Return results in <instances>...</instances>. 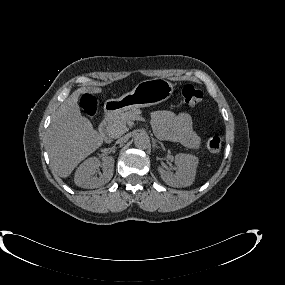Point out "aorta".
Returning a JSON list of instances; mask_svg holds the SVG:
<instances>
[{
	"label": "aorta",
	"instance_id": "obj_1",
	"mask_svg": "<svg viewBox=\"0 0 285 285\" xmlns=\"http://www.w3.org/2000/svg\"><path fill=\"white\" fill-rule=\"evenodd\" d=\"M134 144L137 148L147 149L150 146V138L144 133H138L134 138Z\"/></svg>",
	"mask_w": 285,
	"mask_h": 285
}]
</instances>
